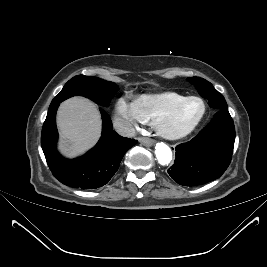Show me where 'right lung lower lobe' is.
Segmentation results:
<instances>
[{
  "mask_svg": "<svg viewBox=\"0 0 267 267\" xmlns=\"http://www.w3.org/2000/svg\"><path fill=\"white\" fill-rule=\"evenodd\" d=\"M59 104H50L41 134L42 149L51 172L60 182L73 188L95 189L105 185L118 170L126 151L137 141L114 132L110 117L100 108L103 128L97 145L80 158L65 159L56 150L55 117Z\"/></svg>",
  "mask_w": 267,
  "mask_h": 267,
  "instance_id": "98d812e1",
  "label": "right lung lower lobe"
}]
</instances>
